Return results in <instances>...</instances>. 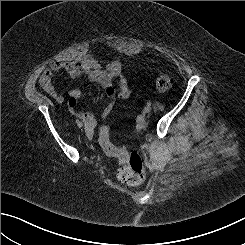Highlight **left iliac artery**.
Here are the masks:
<instances>
[{
    "mask_svg": "<svg viewBox=\"0 0 245 245\" xmlns=\"http://www.w3.org/2000/svg\"><path fill=\"white\" fill-rule=\"evenodd\" d=\"M151 105V102H147V106H150Z\"/></svg>",
    "mask_w": 245,
    "mask_h": 245,
    "instance_id": "1",
    "label": "left iliac artery"
}]
</instances>
